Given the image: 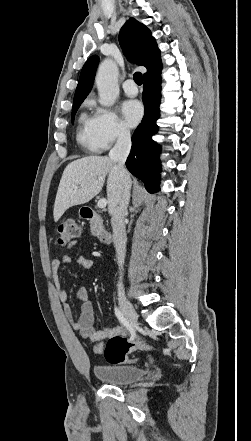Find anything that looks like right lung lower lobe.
<instances>
[{
	"mask_svg": "<svg viewBox=\"0 0 251 441\" xmlns=\"http://www.w3.org/2000/svg\"><path fill=\"white\" fill-rule=\"evenodd\" d=\"M161 69L144 78L143 103L145 114L142 123L132 135L131 152L127 158L128 170L141 181L150 193L159 191L158 173L161 170L159 145L152 140L158 131L156 120L160 116Z\"/></svg>",
	"mask_w": 251,
	"mask_h": 441,
	"instance_id": "1",
	"label": "right lung lower lobe"
}]
</instances>
